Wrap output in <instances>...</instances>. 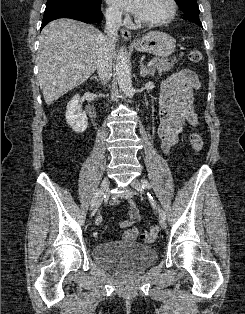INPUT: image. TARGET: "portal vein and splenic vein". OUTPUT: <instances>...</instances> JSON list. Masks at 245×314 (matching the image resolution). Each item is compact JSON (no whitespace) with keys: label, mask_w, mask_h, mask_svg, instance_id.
Segmentation results:
<instances>
[{"label":"portal vein and splenic vein","mask_w":245,"mask_h":314,"mask_svg":"<svg viewBox=\"0 0 245 314\" xmlns=\"http://www.w3.org/2000/svg\"><path fill=\"white\" fill-rule=\"evenodd\" d=\"M157 59H153L151 60L149 63H148V66H152L155 62H156Z\"/></svg>","instance_id":"18ae733b"}]
</instances>
